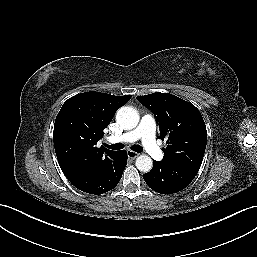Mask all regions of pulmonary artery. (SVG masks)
Wrapping results in <instances>:
<instances>
[{
  "mask_svg": "<svg viewBox=\"0 0 257 257\" xmlns=\"http://www.w3.org/2000/svg\"><path fill=\"white\" fill-rule=\"evenodd\" d=\"M156 121L155 118L150 115H144L139 125L129 132H126L120 136L109 137L108 140L114 143H132L140 140L148 154L156 160H160L163 157V153L156 144Z\"/></svg>",
  "mask_w": 257,
  "mask_h": 257,
  "instance_id": "obj_1",
  "label": "pulmonary artery"
}]
</instances>
